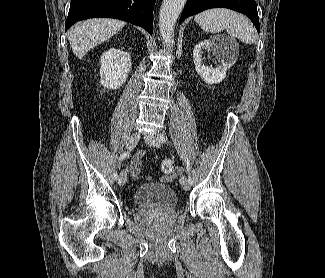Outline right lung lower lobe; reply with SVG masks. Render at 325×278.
Wrapping results in <instances>:
<instances>
[{
    "label": "right lung lower lobe",
    "mask_w": 325,
    "mask_h": 278,
    "mask_svg": "<svg viewBox=\"0 0 325 278\" xmlns=\"http://www.w3.org/2000/svg\"><path fill=\"white\" fill-rule=\"evenodd\" d=\"M155 1L156 0H72L65 24V31L77 21L93 17H109L141 26L152 34V16Z\"/></svg>",
    "instance_id": "98d812e1"
}]
</instances>
